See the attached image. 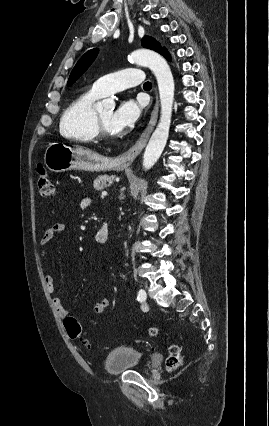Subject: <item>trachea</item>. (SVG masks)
Instances as JSON below:
<instances>
[{
    "mask_svg": "<svg viewBox=\"0 0 269 426\" xmlns=\"http://www.w3.org/2000/svg\"><path fill=\"white\" fill-rule=\"evenodd\" d=\"M152 87V83L151 82H145L143 85V88H151Z\"/></svg>",
    "mask_w": 269,
    "mask_h": 426,
    "instance_id": "trachea-1",
    "label": "trachea"
}]
</instances>
